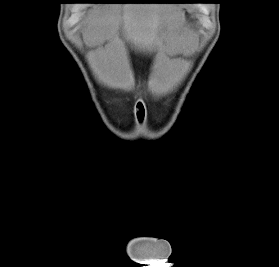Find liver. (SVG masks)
<instances>
[{
	"label": "liver",
	"instance_id": "6515ba94",
	"mask_svg": "<svg viewBox=\"0 0 279 267\" xmlns=\"http://www.w3.org/2000/svg\"><path fill=\"white\" fill-rule=\"evenodd\" d=\"M180 18L181 13L173 6L151 3L111 5L95 11L88 21L86 37L99 47L94 66L100 79L113 88L124 83L128 72L125 42L140 52H173Z\"/></svg>",
	"mask_w": 279,
	"mask_h": 267
}]
</instances>
